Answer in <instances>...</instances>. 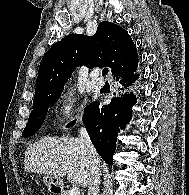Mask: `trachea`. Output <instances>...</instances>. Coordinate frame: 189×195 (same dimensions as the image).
I'll return each mask as SVG.
<instances>
[{
	"instance_id": "trachea-1",
	"label": "trachea",
	"mask_w": 189,
	"mask_h": 195,
	"mask_svg": "<svg viewBox=\"0 0 189 195\" xmlns=\"http://www.w3.org/2000/svg\"><path fill=\"white\" fill-rule=\"evenodd\" d=\"M108 74V68H104L102 71V75L106 76Z\"/></svg>"
}]
</instances>
